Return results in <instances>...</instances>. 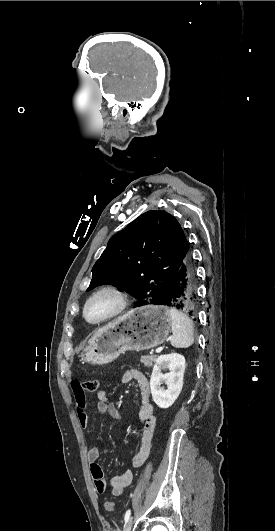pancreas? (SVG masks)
<instances>
[{
	"label": "pancreas",
	"mask_w": 275,
	"mask_h": 531,
	"mask_svg": "<svg viewBox=\"0 0 275 531\" xmlns=\"http://www.w3.org/2000/svg\"><path fill=\"white\" fill-rule=\"evenodd\" d=\"M140 361L145 367H152L156 361V355H145V357H141Z\"/></svg>",
	"instance_id": "pancreas-1"
}]
</instances>
